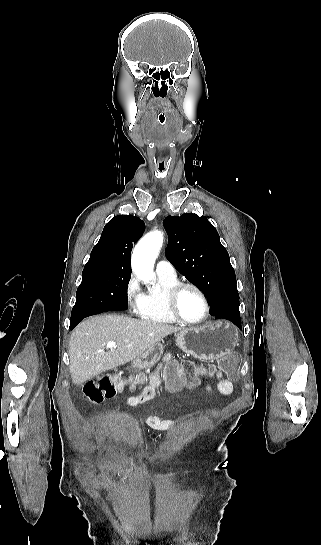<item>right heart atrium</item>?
Returning <instances> with one entry per match:
<instances>
[{"label": "right heart atrium", "instance_id": "obj_1", "mask_svg": "<svg viewBox=\"0 0 321 545\" xmlns=\"http://www.w3.org/2000/svg\"><path fill=\"white\" fill-rule=\"evenodd\" d=\"M124 297L130 312L133 315L140 316L146 295L144 294L139 281L133 274H130L125 282Z\"/></svg>", "mask_w": 321, "mask_h": 545}]
</instances>
